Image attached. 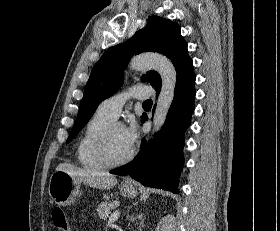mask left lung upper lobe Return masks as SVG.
Here are the masks:
<instances>
[{
    "label": "left lung upper lobe",
    "instance_id": "left-lung-upper-lobe-1",
    "mask_svg": "<svg viewBox=\"0 0 280 231\" xmlns=\"http://www.w3.org/2000/svg\"><path fill=\"white\" fill-rule=\"evenodd\" d=\"M142 52H158L167 56L175 66L177 78L192 65L187 43L181 36L180 27L168 19L151 16L147 25L125 43L110 47L91 71L80 103L79 113L66 141L69 143L86 125L99 103L113 95L123 82V70L133 55ZM193 66V65H192ZM158 90L161 78L155 71L142 76Z\"/></svg>",
    "mask_w": 280,
    "mask_h": 231
}]
</instances>
